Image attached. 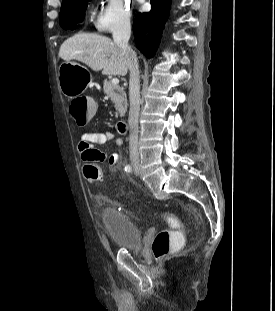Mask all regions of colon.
Returning <instances> with one entry per match:
<instances>
[{
  "instance_id": "obj_1",
  "label": "colon",
  "mask_w": 275,
  "mask_h": 311,
  "mask_svg": "<svg viewBox=\"0 0 275 311\" xmlns=\"http://www.w3.org/2000/svg\"><path fill=\"white\" fill-rule=\"evenodd\" d=\"M100 103V97H83L73 100L70 104V112L76 125H89L90 121H94L95 117H99L98 104ZM101 174V168L95 162L84 166L85 178L92 185L100 181ZM187 209L190 211V208ZM161 217L171 226V229L161 230L155 236L152 242V252L156 258H163L172 252H176L184 245L178 219L171 214H164Z\"/></svg>"
}]
</instances>
